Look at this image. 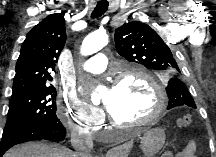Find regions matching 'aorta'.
<instances>
[{"label": "aorta", "mask_w": 216, "mask_h": 157, "mask_svg": "<svg viewBox=\"0 0 216 157\" xmlns=\"http://www.w3.org/2000/svg\"><path fill=\"white\" fill-rule=\"evenodd\" d=\"M108 43V36L105 31L99 30L94 33L89 34L85 37L82 42L80 53L83 56L92 55L100 51ZM92 101L97 102L99 100V95L94 92L92 93Z\"/></svg>", "instance_id": "obj_1"}]
</instances>
